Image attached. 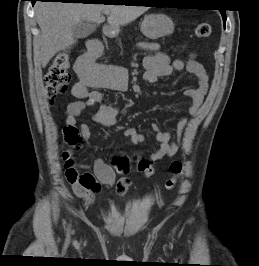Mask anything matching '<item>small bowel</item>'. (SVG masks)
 Wrapping results in <instances>:
<instances>
[{
	"label": "small bowel",
	"instance_id": "c3829d8e",
	"mask_svg": "<svg viewBox=\"0 0 259 266\" xmlns=\"http://www.w3.org/2000/svg\"><path fill=\"white\" fill-rule=\"evenodd\" d=\"M94 44L92 43L89 46L88 50L78 58L74 65L77 80L73 84L71 92L77 100L69 103L66 108L65 122L67 126L75 127L77 117L85 109L102 103L103 93L99 90L100 88L124 90L127 87L128 77L124 68L96 64V59L101 53V47L100 51L95 53L91 50ZM151 49L155 52L143 59L145 68L143 78L149 83H155L159 78L170 76L174 71L186 70L193 74L197 79V86L186 89L184 93L191 99L189 114L195 116L209 87V77L205 68L195 60L184 62L177 59L171 61L165 53L158 50L156 45H152ZM118 111V108L102 103L93 119L97 123L109 127L116 123ZM186 123L187 119L185 117L179 119L174 136L170 132L161 131L156 123L150 124L159 144L158 148L149 155L151 161L172 157L178 152ZM79 132L89 145L91 132L88 125L80 124ZM124 134L133 144H140L145 139L134 128H127ZM88 168V165L81 164L78 168H71L66 171V178L74 193L88 204L94 202L95 195L101 190L102 186L112 187L115 185L117 192L121 195L125 194L130 186V180L127 178H121L116 182L114 168L101 158L95 160L93 173L87 171Z\"/></svg>",
	"mask_w": 259,
	"mask_h": 266
}]
</instances>
